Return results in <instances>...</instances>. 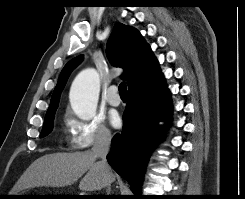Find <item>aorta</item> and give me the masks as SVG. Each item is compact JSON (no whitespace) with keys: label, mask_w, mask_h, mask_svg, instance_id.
Returning a JSON list of instances; mask_svg holds the SVG:
<instances>
[{"label":"aorta","mask_w":245,"mask_h":199,"mask_svg":"<svg viewBox=\"0 0 245 199\" xmlns=\"http://www.w3.org/2000/svg\"><path fill=\"white\" fill-rule=\"evenodd\" d=\"M99 91V75L93 68L81 71L74 79L70 90V103L81 119L89 120L94 117Z\"/></svg>","instance_id":"1"}]
</instances>
